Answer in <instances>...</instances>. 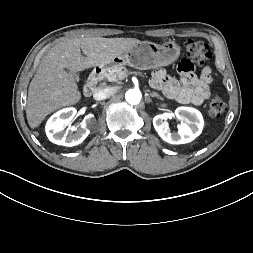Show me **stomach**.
<instances>
[{
	"mask_svg": "<svg viewBox=\"0 0 253 253\" xmlns=\"http://www.w3.org/2000/svg\"><path fill=\"white\" fill-rule=\"evenodd\" d=\"M179 55L180 46L174 41L169 40L162 45L144 41L115 57L109 66L129 65L139 70H148L172 64Z\"/></svg>",
	"mask_w": 253,
	"mask_h": 253,
	"instance_id": "0dacf381",
	"label": "stomach"
}]
</instances>
